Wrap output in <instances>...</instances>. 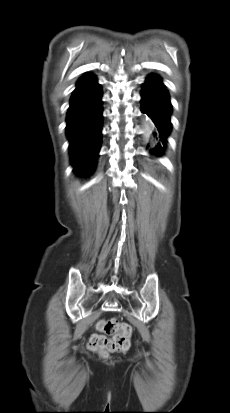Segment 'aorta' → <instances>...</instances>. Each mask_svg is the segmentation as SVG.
Wrapping results in <instances>:
<instances>
[{
  "mask_svg": "<svg viewBox=\"0 0 230 413\" xmlns=\"http://www.w3.org/2000/svg\"><path fill=\"white\" fill-rule=\"evenodd\" d=\"M152 132H153V131H152V128H151L150 123H149V122H146V123L144 124V138H145L146 140L152 138Z\"/></svg>",
  "mask_w": 230,
  "mask_h": 413,
  "instance_id": "762f6f07",
  "label": "aorta"
}]
</instances>
